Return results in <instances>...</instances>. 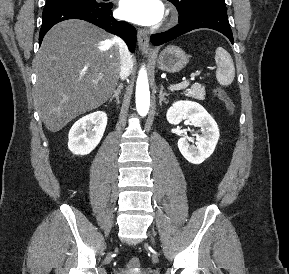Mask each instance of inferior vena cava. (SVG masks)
<instances>
[{
    "label": "inferior vena cava",
    "mask_w": 289,
    "mask_h": 274,
    "mask_svg": "<svg viewBox=\"0 0 289 274\" xmlns=\"http://www.w3.org/2000/svg\"><path fill=\"white\" fill-rule=\"evenodd\" d=\"M114 41L117 42L119 45L120 64H121L120 78L124 80L131 73L133 67V60L125 43L119 40L118 38H114Z\"/></svg>",
    "instance_id": "602c4592"
}]
</instances>
